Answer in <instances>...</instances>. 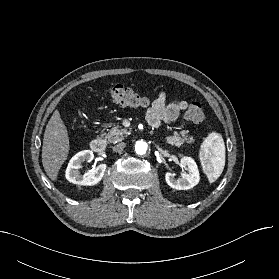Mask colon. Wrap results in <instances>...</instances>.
I'll return each mask as SVG.
<instances>
[{"label":"colon","instance_id":"1","mask_svg":"<svg viewBox=\"0 0 279 279\" xmlns=\"http://www.w3.org/2000/svg\"><path fill=\"white\" fill-rule=\"evenodd\" d=\"M105 96L114 102L131 107H144L148 104V99L139 95L132 89L122 85H115L105 90ZM185 118L193 123H201L204 121V111L202 106L197 103H191L185 113Z\"/></svg>","mask_w":279,"mask_h":279}]
</instances>
